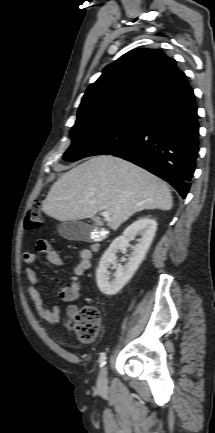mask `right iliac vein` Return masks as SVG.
<instances>
[{
	"mask_svg": "<svg viewBox=\"0 0 215 433\" xmlns=\"http://www.w3.org/2000/svg\"><path fill=\"white\" fill-rule=\"evenodd\" d=\"M106 380H107V367L104 366L101 369L99 377H98V382H97L98 387H101V388L104 387L106 385Z\"/></svg>",
	"mask_w": 215,
	"mask_h": 433,
	"instance_id": "63e3f726",
	"label": "right iliac vein"
}]
</instances>
